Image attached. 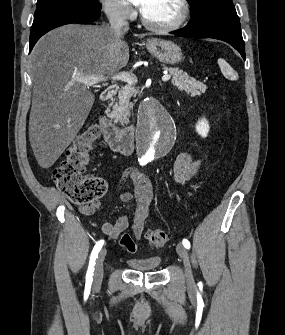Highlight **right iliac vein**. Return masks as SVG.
<instances>
[{
    "label": "right iliac vein",
    "instance_id": "63e3f726",
    "mask_svg": "<svg viewBox=\"0 0 285 335\" xmlns=\"http://www.w3.org/2000/svg\"><path fill=\"white\" fill-rule=\"evenodd\" d=\"M105 256H106V251L102 250L96 261V267H95L94 278H93L94 286L100 285L103 280V274H104L103 262H104Z\"/></svg>",
    "mask_w": 285,
    "mask_h": 335
}]
</instances>
